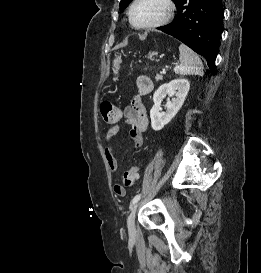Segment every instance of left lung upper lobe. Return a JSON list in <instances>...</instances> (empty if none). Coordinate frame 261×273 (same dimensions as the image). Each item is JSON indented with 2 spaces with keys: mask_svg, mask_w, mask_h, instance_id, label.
Returning <instances> with one entry per match:
<instances>
[{
  "mask_svg": "<svg viewBox=\"0 0 261 273\" xmlns=\"http://www.w3.org/2000/svg\"><path fill=\"white\" fill-rule=\"evenodd\" d=\"M132 0H121L120 2V10L123 11V9L131 2ZM175 3L177 0H173Z\"/></svg>",
  "mask_w": 261,
  "mask_h": 273,
  "instance_id": "obj_1",
  "label": "left lung upper lobe"
}]
</instances>
